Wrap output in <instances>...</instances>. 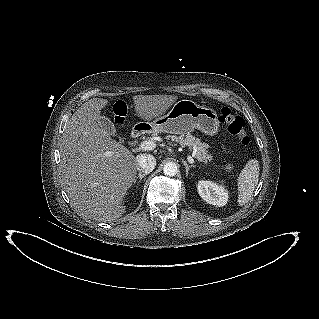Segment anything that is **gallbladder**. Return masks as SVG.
Wrapping results in <instances>:
<instances>
[{"label": "gallbladder", "instance_id": "1", "mask_svg": "<svg viewBox=\"0 0 319 319\" xmlns=\"http://www.w3.org/2000/svg\"><path fill=\"white\" fill-rule=\"evenodd\" d=\"M99 126L104 129L109 135L116 136V129L114 124L105 116H100L97 120ZM122 139L120 138V142Z\"/></svg>", "mask_w": 319, "mask_h": 319}]
</instances>
